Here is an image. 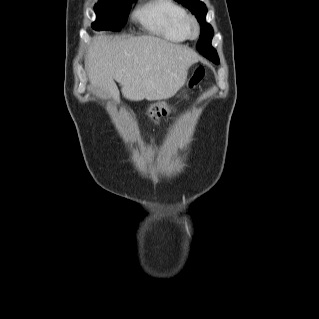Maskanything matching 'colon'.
<instances>
[{"instance_id": "obj_1", "label": "colon", "mask_w": 319, "mask_h": 319, "mask_svg": "<svg viewBox=\"0 0 319 319\" xmlns=\"http://www.w3.org/2000/svg\"><path fill=\"white\" fill-rule=\"evenodd\" d=\"M204 77V68L203 66H197L191 77L189 78V81L187 82L184 91H187L191 88H193L196 84H198L202 78ZM172 113L171 107L165 104H154L151 107L147 109V114L149 118L154 121L158 122L162 117L168 116Z\"/></svg>"}]
</instances>
